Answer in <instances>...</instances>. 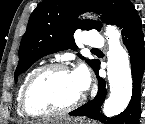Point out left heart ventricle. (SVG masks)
<instances>
[{"label": "left heart ventricle", "mask_w": 145, "mask_h": 124, "mask_svg": "<svg viewBox=\"0 0 145 124\" xmlns=\"http://www.w3.org/2000/svg\"><path fill=\"white\" fill-rule=\"evenodd\" d=\"M82 93L71 72L53 70L34 85L29 104L35 111L59 109L76 101Z\"/></svg>", "instance_id": "b2bd125f"}]
</instances>
